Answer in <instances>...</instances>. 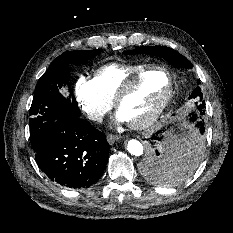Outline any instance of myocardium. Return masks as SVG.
I'll return each mask as SVG.
<instances>
[{"label": "myocardium", "mask_w": 233, "mask_h": 233, "mask_svg": "<svg viewBox=\"0 0 233 233\" xmlns=\"http://www.w3.org/2000/svg\"><path fill=\"white\" fill-rule=\"evenodd\" d=\"M162 71L167 75L168 85L164 95L161 97L155 107L143 118L137 121L128 122L129 126L136 130H142L151 126L163 113L168 103L170 102L174 92V79L171 72L161 65H150L144 68L139 73L128 78L118 89L114 97V106L117 111L120 110V106L124 99L130 94V92L151 72Z\"/></svg>", "instance_id": "myocardium-1"}]
</instances>
